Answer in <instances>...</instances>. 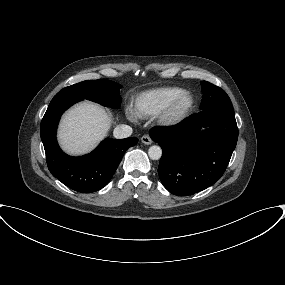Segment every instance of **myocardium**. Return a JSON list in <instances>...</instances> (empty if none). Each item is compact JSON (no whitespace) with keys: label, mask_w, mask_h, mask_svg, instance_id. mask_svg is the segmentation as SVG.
I'll list each match as a JSON object with an SVG mask.
<instances>
[{"label":"myocardium","mask_w":285,"mask_h":285,"mask_svg":"<svg viewBox=\"0 0 285 285\" xmlns=\"http://www.w3.org/2000/svg\"><path fill=\"white\" fill-rule=\"evenodd\" d=\"M187 103L184 105V102ZM195 100L191 93L183 92L177 96L162 112L160 121L165 126H178L182 124L192 113Z\"/></svg>","instance_id":"myocardium-1"}]
</instances>
